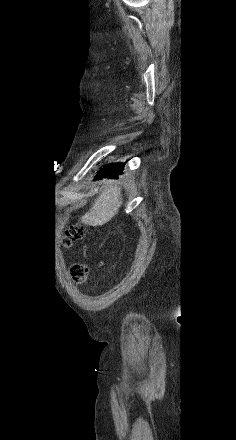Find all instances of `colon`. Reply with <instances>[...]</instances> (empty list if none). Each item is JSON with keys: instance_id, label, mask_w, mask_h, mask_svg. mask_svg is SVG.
Returning a JSON list of instances; mask_svg holds the SVG:
<instances>
[{"instance_id": "5ec220e1", "label": "colon", "mask_w": 236, "mask_h": 440, "mask_svg": "<svg viewBox=\"0 0 236 440\" xmlns=\"http://www.w3.org/2000/svg\"><path fill=\"white\" fill-rule=\"evenodd\" d=\"M86 229L80 224L71 225L64 238V244L69 246L72 242L84 237ZM71 276L73 280L78 284H84L88 281L89 270L85 264L76 263L71 267Z\"/></svg>"}]
</instances>
